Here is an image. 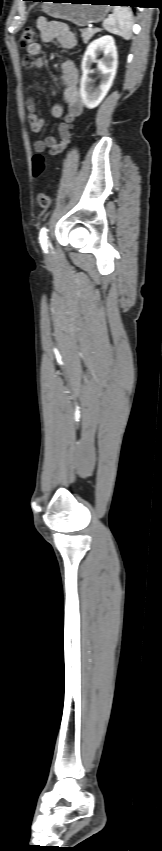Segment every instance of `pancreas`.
I'll use <instances>...</instances> for the list:
<instances>
[{"label": "pancreas", "instance_id": "obj_1", "mask_svg": "<svg viewBox=\"0 0 162 851\" xmlns=\"http://www.w3.org/2000/svg\"><path fill=\"white\" fill-rule=\"evenodd\" d=\"M97 32H99V30H98V29H83V30H81V36H82L83 42H84V43H88V41H89V40H90V39L94 36V34H96Z\"/></svg>", "mask_w": 162, "mask_h": 851}]
</instances>
